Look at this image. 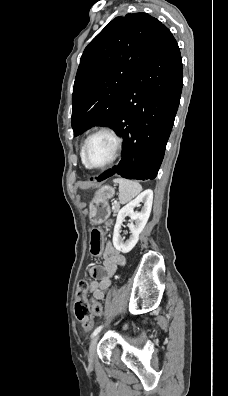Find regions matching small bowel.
<instances>
[{
  "instance_id": "c3829d8e",
  "label": "small bowel",
  "mask_w": 228,
  "mask_h": 396,
  "mask_svg": "<svg viewBox=\"0 0 228 396\" xmlns=\"http://www.w3.org/2000/svg\"><path fill=\"white\" fill-rule=\"evenodd\" d=\"M125 264V257L108 242L103 251L102 265L95 266L90 270L94 279L89 284V293L96 300H103L115 273Z\"/></svg>"
}]
</instances>
